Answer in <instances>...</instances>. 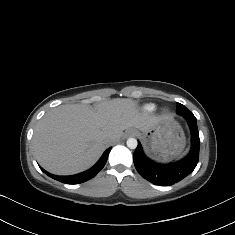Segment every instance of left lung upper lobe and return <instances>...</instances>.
Segmentation results:
<instances>
[{
  "mask_svg": "<svg viewBox=\"0 0 235 235\" xmlns=\"http://www.w3.org/2000/svg\"><path fill=\"white\" fill-rule=\"evenodd\" d=\"M176 112L182 116H186V115H193V113L188 110L184 105L177 103V110Z\"/></svg>",
  "mask_w": 235,
  "mask_h": 235,
  "instance_id": "left-lung-upper-lobe-1",
  "label": "left lung upper lobe"
}]
</instances>
